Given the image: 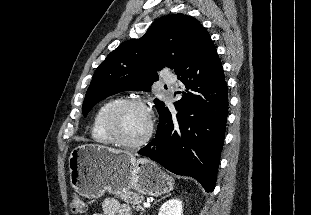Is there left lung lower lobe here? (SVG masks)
Returning <instances> with one entry per match:
<instances>
[{
  "instance_id": "obj_1",
  "label": "left lung lower lobe",
  "mask_w": 311,
  "mask_h": 215,
  "mask_svg": "<svg viewBox=\"0 0 311 215\" xmlns=\"http://www.w3.org/2000/svg\"><path fill=\"white\" fill-rule=\"evenodd\" d=\"M175 73L185 85L182 98L174 103L176 113L165 104L158 109L156 136L138 153L175 174L195 178L212 192L225 137L228 89L210 35L201 39Z\"/></svg>"
}]
</instances>
